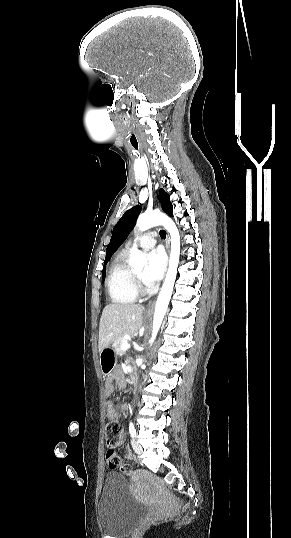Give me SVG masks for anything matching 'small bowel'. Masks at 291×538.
Masks as SVG:
<instances>
[{
    "label": "small bowel",
    "mask_w": 291,
    "mask_h": 538,
    "mask_svg": "<svg viewBox=\"0 0 291 538\" xmlns=\"http://www.w3.org/2000/svg\"><path fill=\"white\" fill-rule=\"evenodd\" d=\"M113 379L115 380V383L118 386V388H121V389L125 388L126 380L119 373H115ZM114 390H115L114 383H113L112 379L109 378L106 381V384H105V394L107 396H110V395L113 394ZM106 409H107V416H108L109 419H117L119 417V413H118L117 409L115 408L113 402L109 401L107 403ZM122 442H123V438H122L121 442L117 446H120L122 444ZM122 457L124 459H130L132 457L131 450L129 448H127L125 450L124 454L122 455ZM109 466H110L111 469L116 468V467H114V466H112L110 464H109Z\"/></svg>",
    "instance_id": "1"
}]
</instances>
